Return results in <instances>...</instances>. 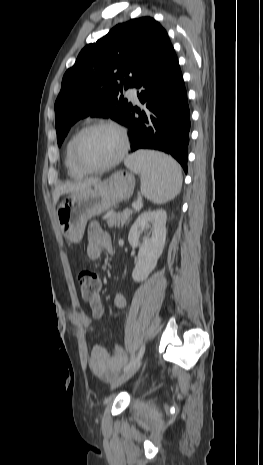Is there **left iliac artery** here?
I'll use <instances>...</instances> for the list:
<instances>
[{
    "instance_id": "obj_1",
    "label": "left iliac artery",
    "mask_w": 263,
    "mask_h": 465,
    "mask_svg": "<svg viewBox=\"0 0 263 465\" xmlns=\"http://www.w3.org/2000/svg\"><path fill=\"white\" fill-rule=\"evenodd\" d=\"M145 346L142 345L139 352L134 356L131 361L125 366L124 371H127L133 364H135L144 354Z\"/></svg>"
}]
</instances>
